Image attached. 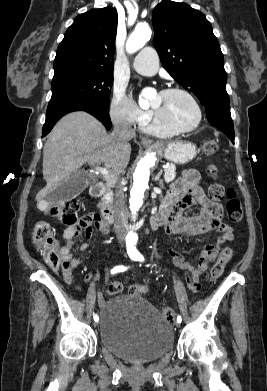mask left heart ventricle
Here are the masks:
<instances>
[{"instance_id":"left-heart-ventricle-1","label":"left heart ventricle","mask_w":267,"mask_h":391,"mask_svg":"<svg viewBox=\"0 0 267 391\" xmlns=\"http://www.w3.org/2000/svg\"><path fill=\"white\" fill-rule=\"evenodd\" d=\"M151 107L162 120L177 127H191L197 119L194 105L182 94H157L151 101Z\"/></svg>"}]
</instances>
